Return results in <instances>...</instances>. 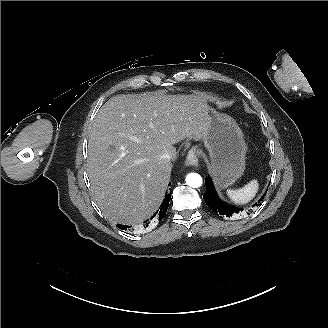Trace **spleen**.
I'll list each match as a JSON object with an SVG mask.
<instances>
[{"label": "spleen", "instance_id": "3e777b00", "mask_svg": "<svg viewBox=\"0 0 328 328\" xmlns=\"http://www.w3.org/2000/svg\"><path fill=\"white\" fill-rule=\"evenodd\" d=\"M259 189L257 180H252L240 189H228L227 195L235 204H246L250 202L256 195Z\"/></svg>", "mask_w": 328, "mask_h": 328}]
</instances>
